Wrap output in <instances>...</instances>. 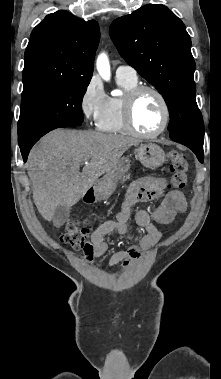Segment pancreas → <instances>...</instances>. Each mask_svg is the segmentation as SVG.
<instances>
[{
    "label": "pancreas",
    "instance_id": "obj_1",
    "mask_svg": "<svg viewBox=\"0 0 221 379\" xmlns=\"http://www.w3.org/2000/svg\"><path fill=\"white\" fill-rule=\"evenodd\" d=\"M129 178H130L129 175H127L126 177L123 178V181H125V180H127Z\"/></svg>",
    "mask_w": 221,
    "mask_h": 379
}]
</instances>
